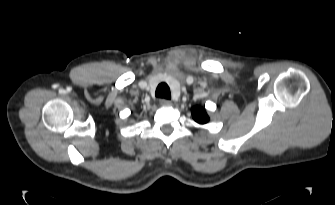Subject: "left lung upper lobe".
Wrapping results in <instances>:
<instances>
[{
	"label": "left lung upper lobe",
	"instance_id": "obj_1",
	"mask_svg": "<svg viewBox=\"0 0 335 205\" xmlns=\"http://www.w3.org/2000/svg\"><path fill=\"white\" fill-rule=\"evenodd\" d=\"M192 117L196 122L200 124H205L209 121V117L206 111L199 106H196L192 109Z\"/></svg>",
	"mask_w": 335,
	"mask_h": 205
}]
</instances>
